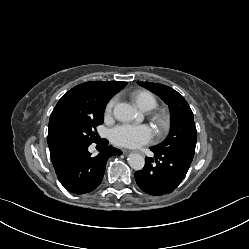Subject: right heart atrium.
<instances>
[{
	"instance_id": "obj_1",
	"label": "right heart atrium",
	"mask_w": 249,
	"mask_h": 249,
	"mask_svg": "<svg viewBox=\"0 0 249 249\" xmlns=\"http://www.w3.org/2000/svg\"><path fill=\"white\" fill-rule=\"evenodd\" d=\"M115 102H116L115 99H112V100L109 101V103L107 104L106 109H105V114L106 115H110L112 113Z\"/></svg>"
}]
</instances>
